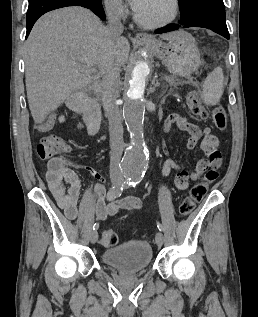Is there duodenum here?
<instances>
[{
    "label": "duodenum",
    "instance_id": "duodenum-1",
    "mask_svg": "<svg viewBox=\"0 0 258 317\" xmlns=\"http://www.w3.org/2000/svg\"><path fill=\"white\" fill-rule=\"evenodd\" d=\"M82 106H83V103L79 104V105H78V108H81Z\"/></svg>",
    "mask_w": 258,
    "mask_h": 317
}]
</instances>
